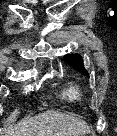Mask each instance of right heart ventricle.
Instances as JSON below:
<instances>
[{
	"mask_svg": "<svg viewBox=\"0 0 117 136\" xmlns=\"http://www.w3.org/2000/svg\"><path fill=\"white\" fill-rule=\"evenodd\" d=\"M65 96L70 100V101H76L80 99L81 93L80 90L77 86L70 85L66 90H65Z\"/></svg>",
	"mask_w": 117,
	"mask_h": 136,
	"instance_id": "right-heart-ventricle-1",
	"label": "right heart ventricle"
}]
</instances>
